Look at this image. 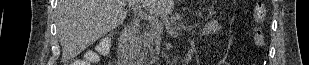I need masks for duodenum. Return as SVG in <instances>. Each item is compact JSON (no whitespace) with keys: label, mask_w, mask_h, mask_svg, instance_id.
I'll return each mask as SVG.
<instances>
[{"label":"duodenum","mask_w":309,"mask_h":65,"mask_svg":"<svg viewBox=\"0 0 309 65\" xmlns=\"http://www.w3.org/2000/svg\"><path fill=\"white\" fill-rule=\"evenodd\" d=\"M136 28L134 26L127 27L120 35L118 40L117 60L118 65H135L132 61V50L135 42ZM192 56L189 50L182 58L181 63L185 64Z\"/></svg>","instance_id":"duodenum-1"}]
</instances>
